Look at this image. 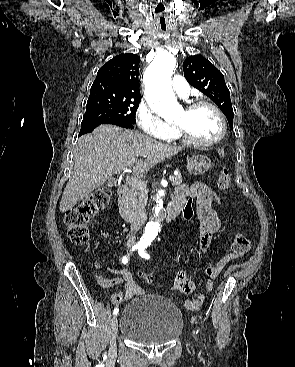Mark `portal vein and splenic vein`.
Returning a JSON list of instances; mask_svg holds the SVG:
<instances>
[{
  "label": "portal vein and splenic vein",
  "instance_id": "1",
  "mask_svg": "<svg viewBox=\"0 0 295 367\" xmlns=\"http://www.w3.org/2000/svg\"><path fill=\"white\" fill-rule=\"evenodd\" d=\"M128 170H125L127 172ZM174 177L171 175L169 176V180L172 181ZM126 182L134 187L144 188L145 184L138 178L133 176H126Z\"/></svg>",
  "mask_w": 295,
  "mask_h": 367
}]
</instances>
